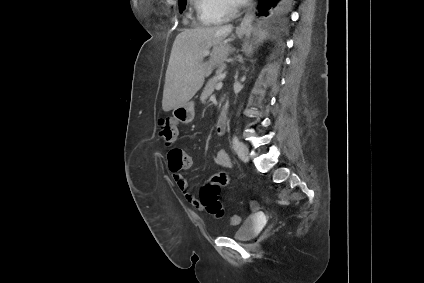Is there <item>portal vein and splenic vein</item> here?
Masks as SVG:
<instances>
[{"instance_id":"portal-vein-and-splenic-vein-1","label":"portal vein and splenic vein","mask_w":424,"mask_h":283,"mask_svg":"<svg viewBox=\"0 0 424 283\" xmlns=\"http://www.w3.org/2000/svg\"><path fill=\"white\" fill-rule=\"evenodd\" d=\"M203 55H204V56L209 55V51H204V52H203ZM222 86H223V83H222V82H219V83H217V85L215 86V89H216V90H219V89H221V88H222Z\"/></svg>"}]
</instances>
